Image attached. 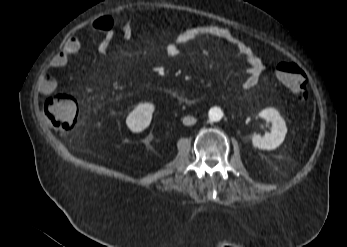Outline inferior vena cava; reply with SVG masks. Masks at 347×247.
Returning <instances> with one entry per match:
<instances>
[{
	"mask_svg": "<svg viewBox=\"0 0 347 247\" xmlns=\"http://www.w3.org/2000/svg\"><path fill=\"white\" fill-rule=\"evenodd\" d=\"M196 118L192 117V116H186L183 119V124L185 125H194L196 123Z\"/></svg>",
	"mask_w": 347,
	"mask_h": 247,
	"instance_id": "inferior-vena-cava-1",
	"label": "inferior vena cava"
}]
</instances>
